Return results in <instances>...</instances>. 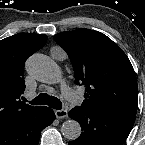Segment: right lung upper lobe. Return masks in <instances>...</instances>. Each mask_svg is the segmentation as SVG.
Here are the masks:
<instances>
[{
	"mask_svg": "<svg viewBox=\"0 0 145 145\" xmlns=\"http://www.w3.org/2000/svg\"><path fill=\"white\" fill-rule=\"evenodd\" d=\"M46 35L19 33L0 41V130L41 107L20 101L26 59L43 47Z\"/></svg>",
	"mask_w": 145,
	"mask_h": 145,
	"instance_id": "cb5924a9",
	"label": "right lung upper lobe"
}]
</instances>
